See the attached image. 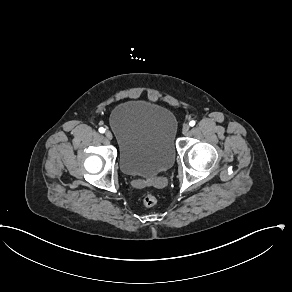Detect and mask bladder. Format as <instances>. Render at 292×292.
<instances>
[{
    "label": "bladder",
    "mask_w": 292,
    "mask_h": 292,
    "mask_svg": "<svg viewBox=\"0 0 292 292\" xmlns=\"http://www.w3.org/2000/svg\"><path fill=\"white\" fill-rule=\"evenodd\" d=\"M109 123L125 174L153 176L173 165L177 120L170 109L146 100H126L114 108Z\"/></svg>",
    "instance_id": "bladder-1"
}]
</instances>
